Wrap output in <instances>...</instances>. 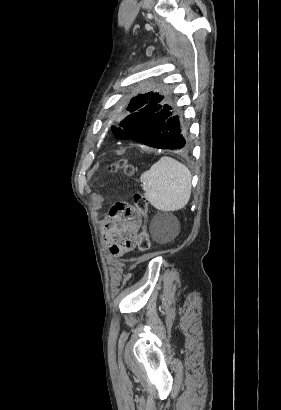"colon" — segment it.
Returning a JSON list of instances; mask_svg holds the SVG:
<instances>
[{"mask_svg": "<svg viewBox=\"0 0 281 410\" xmlns=\"http://www.w3.org/2000/svg\"><path fill=\"white\" fill-rule=\"evenodd\" d=\"M119 169H123L127 175H133L135 173V167L133 164L126 160H121L115 164H112L109 168L110 172H116ZM148 211V199L141 193L136 192L133 196V204L127 202H118L114 204L110 209V215L117 217H127L132 213L137 212L143 216L147 215ZM151 248V239L145 229H143L138 238V249L140 252H147Z\"/></svg>", "mask_w": 281, "mask_h": 410, "instance_id": "1", "label": "colon"}]
</instances>
